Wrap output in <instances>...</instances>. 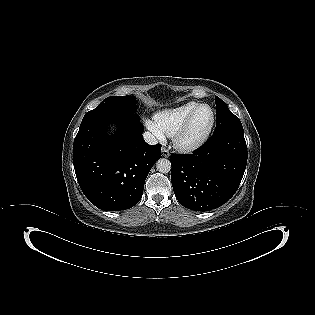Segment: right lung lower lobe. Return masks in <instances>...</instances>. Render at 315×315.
I'll use <instances>...</instances> for the list:
<instances>
[{
	"label": "right lung lower lobe",
	"mask_w": 315,
	"mask_h": 315,
	"mask_svg": "<svg viewBox=\"0 0 315 315\" xmlns=\"http://www.w3.org/2000/svg\"><path fill=\"white\" fill-rule=\"evenodd\" d=\"M111 122L118 123L113 136ZM143 125L133 112L96 107L87 112L73 145L78 183L88 200L107 211L126 210L142 197L145 179L161 157V145L143 139Z\"/></svg>",
	"instance_id": "right-lung-lower-lobe-1"
}]
</instances>
